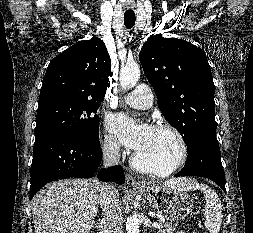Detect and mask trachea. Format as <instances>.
Masks as SVG:
<instances>
[{"instance_id":"obj_1","label":"trachea","mask_w":253,"mask_h":233,"mask_svg":"<svg viewBox=\"0 0 253 233\" xmlns=\"http://www.w3.org/2000/svg\"><path fill=\"white\" fill-rule=\"evenodd\" d=\"M135 13L133 11H127L124 14V24L127 29H130L134 26L135 24Z\"/></svg>"}]
</instances>
